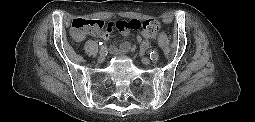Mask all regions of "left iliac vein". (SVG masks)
I'll return each mask as SVG.
<instances>
[{
	"instance_id": "left-iliac-vein-1",
	"label": "left iliac vein",
	"mask_w": 255,
	"mask_h": 122,
	"mask_svg": "<svg viewBox=\"0 0 255 122\" xmlns=\"http://www.w3.org/2000/svg\"><path fill=\"white\" fill-rule=\"evenodd\" d=\"M142 62H143L145 65H150V64H151V61H150V59H148V58H142Z\"/></svg>"
}]
</instances>
